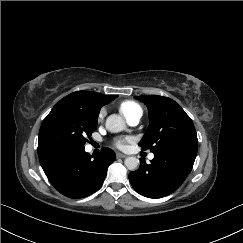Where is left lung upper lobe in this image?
Returning <instances> with one entry per match:
<instances>
[{
  "label": "left lung upper lobe",
  "mask_w": 243,
  "mask_h": 243,
  "mask_svg": "<svg viewBox=\"0 0 243 243\" xmlns=\"http://www.w3.org/2000/svg\"><path fill=\"white\" fill-rule=\"evenodd\" d=\"M135 98L145 103L149 111V127L139 142L142 150L155 152L179 141L197 140L192 120L174 100L158 95Z\"/></svg>",
  "instance_id": "obj_1"
}]
</instances>
